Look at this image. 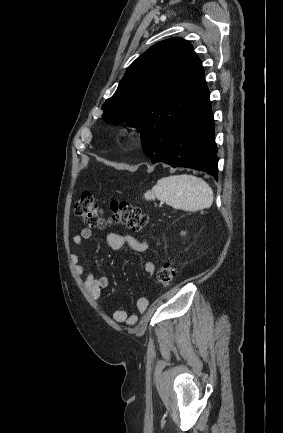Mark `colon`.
Masks as SVG:
<instances>
[{"instance_id": "obj_1", "label": "colon", "mask_w": 283, "mask_h": 433, "mask_svg": "<svg viewBox=\"0 0 283 433\" xmlns=\"http://www.w3.org/2000/svg\"><path fill=\"white\" fill-rule=\"evenodd\" d=\"M74 212L84 224L89 227L102 229L108 224H122L127 228L141 232L148 225V216L138 206L124 200H114L109 205V213L104 216L94 196L90 192H83L74 206ZM176 275L174 264H163L156 275L157 283L169 285Z\"/></svg>"}]
</instances>
